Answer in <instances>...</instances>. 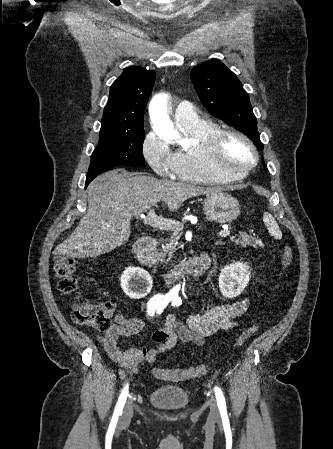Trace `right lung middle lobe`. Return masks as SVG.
<instances>
[{"mask_svg":"<svg viewBox=\"0 0 333 449\" xmlns=\"http://www.w3.org/2000/svg\"><path fill=\"white\" fill-rule=\"evenodd\" d=\"M97 148L91 155L87 177L99 174L118 165L143 166L144 129L138 133H100Z\"/></svg>","mask_w":333,"mask_h":449,"instance_id":"1","label":"right lung middle lobe"}]
</instances>
